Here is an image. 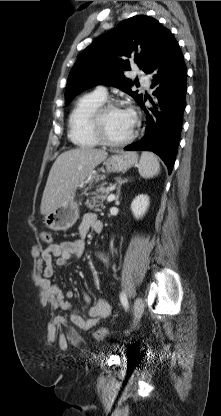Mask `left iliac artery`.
<instances>
[{"label": "left iliac artery", "instance_id": "left-iliac-artery-1", "mask_svg": "<svg viewBox=\"0 0 221 416\" xmlns=\"http://www.w3.org/2000/svg\"><path fill=\"white\" fill-rule=\"evenodd\" d=\"M120 300H121V303H122L123 307L125 309H128V300H127V296H126L125 292H122L120 294Z\"/></svg>", "mask_w": 221, "mask_h": 416}]
</instances>
